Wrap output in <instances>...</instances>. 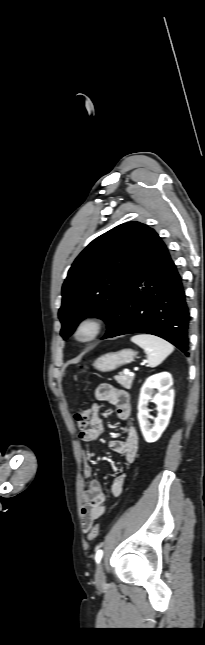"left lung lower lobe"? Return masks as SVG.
<instances>
[{"label":"left lung lower lobe","mask_w":205,"mask_h":645,"mask_svg":"<svg viewBox=\"0 0 205 645\" xmlns=\"http://www.w3.org/2000/svg\"><path fill=\"white\" fill-rule=\"evenodd\" d=\"M120 308L118 327L107 338L148 333L169 341L188 356L190 317L182 279L152 228L142 240Z\"/></svg>","instance_id":"left-lung-lower-lobe-1"}]
</instances>
